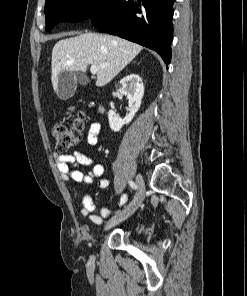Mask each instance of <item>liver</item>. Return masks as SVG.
<instances>
[{
	"mask_svg": "<svg viewBox=\"0 0 247 296\" xmlns=\"http://www.w3.org/2000/svg\"><path fill=\"white\" fill-rule=\"evenodd\" d=\"M142 50V46L117 36L84 33L59 40L52 50L51 81L58 91V77L63 71L86 72L88 65H97L96 86L109 83ZM104 65V67H101Z\"/></svg>",
	"mask_w": 247,
	"mask_h": 296,
	"instance_id": "liver-1",
	"label": "liver"
}]
</instances>
